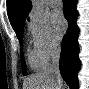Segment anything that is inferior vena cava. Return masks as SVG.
<instances>
[{
    "label": "inferior vena cava",
    "instance_id": "602c4592",
    "mask_svg": "<svg viewBox=\"0 0 89 89\" xmlns=\"http://www.w3.org/2000/svg\"><path fill=\"white\" fill-rule=\"evenodd\" d=\"M60 42L55 43L54 49L52 52V62L49 69V73L56 78H60V71H59V58H60ZM60 89V87H58Z\"/></svg>",
    "mask_w": 89,
    "mask_h": 89
}]
</instances>
